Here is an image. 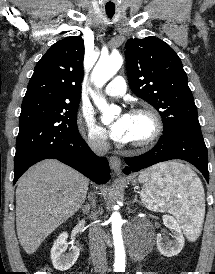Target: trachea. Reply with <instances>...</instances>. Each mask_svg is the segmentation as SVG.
<instances>
[{
    "label": "trachea",
    "mask_w": 215,
    "mask_h": 274,
    "mask_svg": "<svg viewBox=\"0 0 215 274\" xmlns=\"http://www.w3.org/2000/svg\"><path fill=\"white\" fill-rule=\"evenodd\" d=\"M107 15H108L109 18H112L114 13H107Z\"/></svg>",
    "instance_id": "1"
}]
</instances>
